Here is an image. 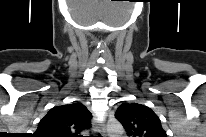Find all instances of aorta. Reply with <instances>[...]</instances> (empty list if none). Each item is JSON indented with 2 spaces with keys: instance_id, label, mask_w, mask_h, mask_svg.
I'll return each mask as SVG.
<instances>
[{
  "instance_id": "aorta-1",
  "label": "aorta",
  "mask_w": 206,
  "mask_h": 137,
  "mask_svg": "<svg viewBox=\"0 0 206 137\" xmlns=\"http://www.w3.org/2000/svg\"><path fill=\"white\" fill-rule=\"evenodd\" d=\"M110 137H119L123 134V126L119 122L110 123L107 127Z\"/></svg>"
}]
</instances>
